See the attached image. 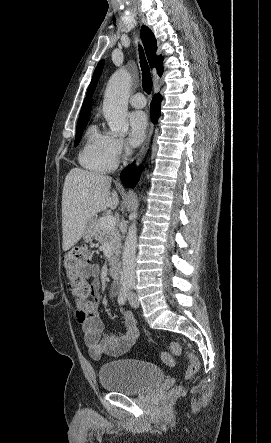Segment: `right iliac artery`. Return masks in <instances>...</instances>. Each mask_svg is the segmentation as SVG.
Returning <instances> with one entry per match:
<instances>
[{
  "label": "right iliac artery",
  "mask_w": 271,
  "mask_h": 443,
  "mask_svg": "<svg viewBox=\"0 0 271 443\" xmlns=\"http://www.w3.org/2000/svg\"><path fill=\"white\" fill-rule=\"evenodd\" d=\"M128 291H129V287L128 286H123L121 288L119 296H118V303L120 305H124L125 304V302L127 300Z\"/></svg>",
  "instance_id": "1"
}]
</instances>
